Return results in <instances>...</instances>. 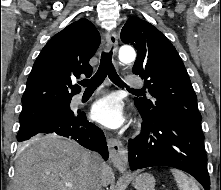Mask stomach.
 <instances>
[{
	"label": "stomach",
	"instance_id": "1",
	"mask_svg": "<svg viewBox=\"0 0 221 190\" xmlns=\"http://www.w3.org/2000/svg\"><path fill=\"white\" fill-rule=\"evenodd\" d=\"M132 185L137 190H154L155 178L150 173H142L133 177Z\"/></svg>",
	"mask_w": 221,
	"mask_h": 190
}]
</instances>
